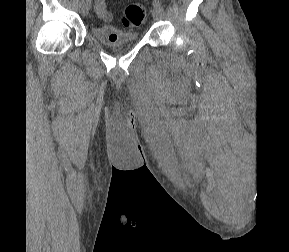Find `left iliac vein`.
Masks as SVG:
<instances>
[{"instance_id":"1","label":"left iliac vein","mask_w":289,"mask_h":252,"mask_svg":"<svg viewBox=\"0 0 289 252\" xmlns=\"http://www.w3.org/2000/svg\"><path fill=\"white\" fill-rule=\"evenodd\" d=\"M152 16H153L154 20H160L163 17L162 7H154L152 9Z\"/></svg>"}]
</instances>
